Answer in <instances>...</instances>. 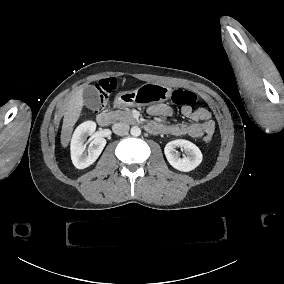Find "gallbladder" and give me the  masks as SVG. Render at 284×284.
I'll use <instances>...</instances> for the list:
<instances>
[{
	"mask_svg": "<svg viewBox=\"0 0 284 284\" xmlns=\"http://www.w3.org/2000/svg\"><path fill=\"white\" fill-rule=\"evenodd\" d=\"M83 99L86 107L92 111L100 112L101 98L98 89L92 85H88L83 92Z\"/></svg>",
	"mask_w": 284,
	"mask_h": 284,
	"instance_id": "gallbladder-1",
	"label": "gallbladder"
}]
</instances>
